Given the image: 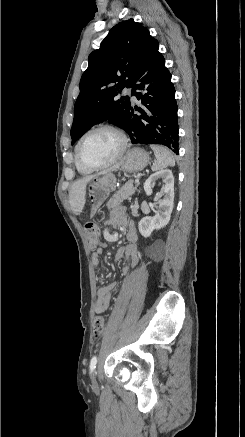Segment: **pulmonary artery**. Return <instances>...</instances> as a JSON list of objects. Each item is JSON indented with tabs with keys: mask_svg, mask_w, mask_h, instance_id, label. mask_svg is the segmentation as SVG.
Returning a JSON list of instances; mask_svg holds the SVG:
<instances>
[{
	"mask_svg": "<svg viewBox=\"0 0 245 437\" xmlns=\"http://www.w3.org/2000/svg\"><path fill=\"white\" fill-rule=\"evenodd\" d=\"M125 93L131 95L132 94V90L131 88H125ZM132 99L135 100V96H132Z\"/></svg>",
	"mask_w": 245,
	"mask_h": 437,
	"instance_id": "pulmonary-artery-1",
	"label": "pulmonary artery"
}]
</instances>
